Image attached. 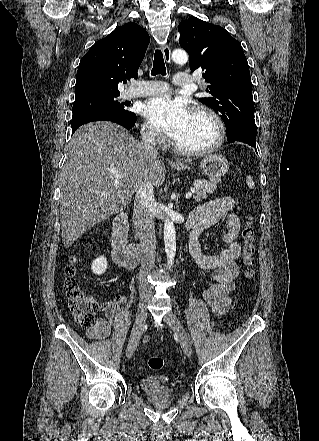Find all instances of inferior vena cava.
Returning a JSON list of instances; mask_svg holds the SVG:
<instances>
[{
  "instance_id": "obj_1",
  "label": "inferior vena cava",
  "mask_w": 319,
  "mask_h": 441,
  "mask_svg": "<svg viewBox=\"0 0 319 441\" xmlns=\"http://www.w3.org/2000/svg\"><path fill=\"white\" fill-rule=\"evenodd\" d=\"M142 144L146 155L152 158L157 157L156 134L148 130L142 135ZM155 206L153 185L147 182L144 188L137 192L133 209V221L136 226V234L140 239L142 251L141 269L139 275L140 296H150L152 289L146 281V276L155 263L156 236L154 228V216L151 208Z\"/></svg>"
}]
</instances>
